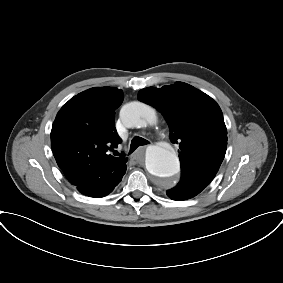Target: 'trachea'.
<instances>
[{
    "label": "trachea",
    "instance_id": "1",
    "mask_svg": "<svg viewBox=\"0 0 283 283\" xmlns=\"http://www.w3.org/2000/svg\"><path fill=\"white\" fill-rule=\"evenodd\" d=\"M149 143L150 142L147 141L146 139L139 136H135L131 141L129 154L134 152L139 146L147 145Z\"/></svg>",
    "mask_w": 283,
    "mask_h": 283
}]
</instances>
